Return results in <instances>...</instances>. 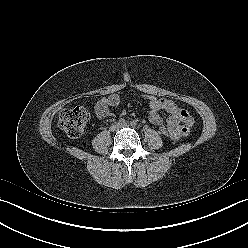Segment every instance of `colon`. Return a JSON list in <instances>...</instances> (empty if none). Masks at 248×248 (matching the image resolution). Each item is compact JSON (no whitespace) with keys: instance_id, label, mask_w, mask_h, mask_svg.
<instances>
[{"instance_id":"colon-1","label":"colon","mask_w":248,"mask_h":248,"mask_svg":"<svg viewBox=\"0 0 248 248\" xmlns=\"http://www.w3.org/2000/svg\"><path fill=\"white\" fill-rule=\"evenodd\" d=\"M88 119L89 112L84 107L66 109L60 112L58 116V126L69 137L78 138L84 133ZM159 133L167 139H174L173 133L167 126H160Z\"/></svg>"}]
</instances>
